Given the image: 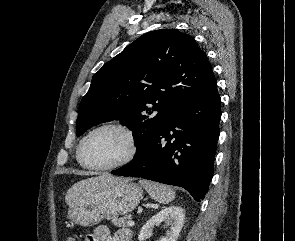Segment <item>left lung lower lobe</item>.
<instances>
[{
    "instance_id": "left-lung-lower-lobe-1",
    "label": "left lung lower lobe",
    "mask_w": 295,
    "mask_h": 241,
    "mask_svg": "<svg viewBox=\"0 0 295 241\" xmlns=\"http://www.w3.org/2000/svg\"><path fill=\"white\" fill-rule=\"evenodd\" d=\"M220 117L215 82L177 109L130 163L111 173L180 186L196 201L204 199L213 176Z\"/></svg>"
}]
</instances>
